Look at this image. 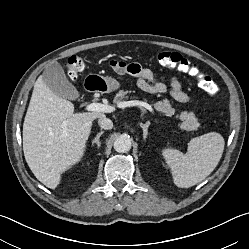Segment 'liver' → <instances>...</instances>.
<instances>
[{
    "label": "liver",
    "mask_w": 249,
    "mask_h": 249,
    "mask_svg": "<svg viewBox=\"0 0 249 249\" xmlns=\"http://www.w3.org/2000/svg\"><path fill=\"white\" fill-rule=\"evenodd\" d=\"M100 112L74 113L70 101L56 95L39 77L23 124V151L35 177L50 189L84 155L92 123Z\"/></svg>",
    "instance_id": "6515ba94"
}]
</instances>
